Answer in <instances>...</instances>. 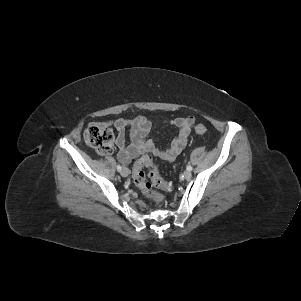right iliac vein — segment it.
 Instances as JSON below:
<instances>
[{
	"label": "right iliac vein",
	"mask_w": 301,
	"mask_h": 301,
	"mask_svg": "<svg viewBox=\"0 0 301 301\" xmlns=\"http://www.w3.org/2000/svg\"><path fill=\"white\" fill-rule=\"evenodd\" d=\"M120 173L123 177H127L129 175V170L128 168L124 167L121 169Z\"/></svg>",
	"instance_id": "63e3f726"
}]
</instances>
